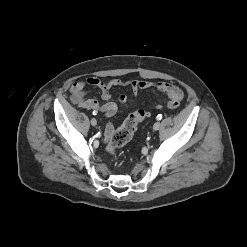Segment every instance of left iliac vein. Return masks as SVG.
<instances>
[{"instance_id": "left-iliac-vein-1", "label": "left iliac vein", "mask_w": 247, "mask_h": 247, "mask_svg": "<svg viewBox=\"0 0 247 247\" xmlns=\"http://www.w3.org/2000/svg\"><path fill=\"white\" fill-rule=\"evenodd\" d=\"M160 128V123L159 122H156L154 125H153V129L154 130H158Z\"/></svg>"}]
</instances>
